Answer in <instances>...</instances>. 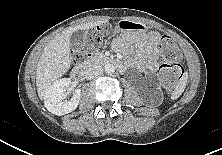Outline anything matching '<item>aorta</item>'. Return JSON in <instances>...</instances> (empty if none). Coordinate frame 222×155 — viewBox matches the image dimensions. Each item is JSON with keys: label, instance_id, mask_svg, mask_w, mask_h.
<instances>
[{"label": "aorta", "instance_id": "aorta-1", "mask_svg": "<svg viewBox=\"0 0 222 155\" xmlns=\"http://www.w3.org/2000/svg\"><path fill=\"white\" fill-rule=\"evenodd\" d=\"M104 68L107 74H112L115 72V66L110 63H107Z\"/></svg>", "mask_w": 222, "mask_h": 155}]
</instances>
